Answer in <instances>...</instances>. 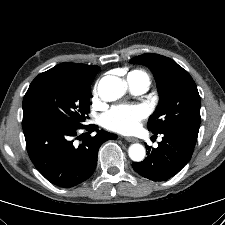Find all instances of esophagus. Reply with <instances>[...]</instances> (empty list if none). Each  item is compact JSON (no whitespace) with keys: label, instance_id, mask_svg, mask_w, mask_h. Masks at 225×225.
<instances>
[{"label":"esophagus","instance_id":"obj_1","mask_svg":"<svg viewBox=\"0 0 225 225\" xmlns=\"http://www.w3.org/2000/svg\"><path fill=\"white\" fill-rule=\"evenodd\" d=\"M125 140L128 142H137L138 141V139L134 138V137H125Z\"/></svg>","mask_w":225,"mask_h":225}]
</instances>
